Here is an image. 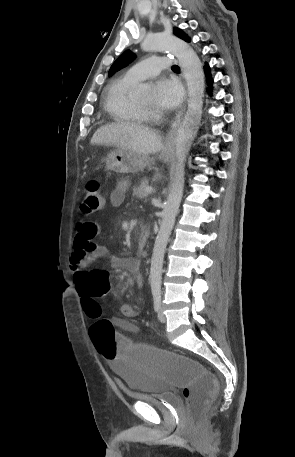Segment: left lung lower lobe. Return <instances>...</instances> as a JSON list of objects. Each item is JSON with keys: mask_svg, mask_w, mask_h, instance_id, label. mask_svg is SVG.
<instances>
[{"mask_svg": "<svg viewBox=\"0 0 295 457\" xmlns=\"http://www.w3.org/2000/svg\"><path fill=\"white\" fill-rule=\"evenodd\" d=\"M204 70H205V74H206V77H207V83L209 84V93L211 94V88H212L213 80L211 78L210 68H209V65L207 63H205Z\"/></svg>", "mask_w": 295, "mask_h": 457, "instance_id": "1", "label": "left lung lower lobe"}]
</instances>
